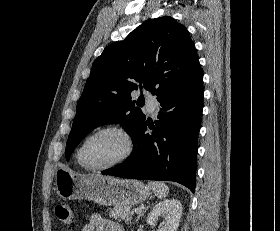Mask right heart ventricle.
Segmentation results:
<instances>
[{"label": "right heart ventricle", "mask_w": 280, "mask_h": 231, "mask_svg": "<svg viewBox=\"0 0 280 231\" xmlns=\"http://www.w3.org/2000/svg\"><path fill=\"white\" fill-rule=\"evenodd\" d=\"M79 148H80V146H79V147L77 148V150H76L75 158H76L77 164L79 165V167H81L80 164L78 163V160H77V153H78ZM81 168H82V167H81Z\"/></svg>", "instance_id": "e07e8e85"}]
</instances>
